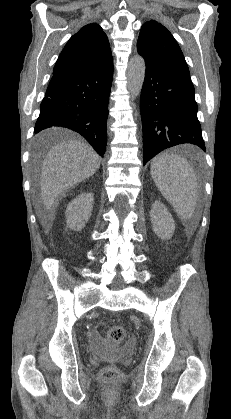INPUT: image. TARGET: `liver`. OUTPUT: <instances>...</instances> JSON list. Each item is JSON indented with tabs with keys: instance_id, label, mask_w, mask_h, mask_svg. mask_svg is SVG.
Listing matches in <instances>:
<instances>
[{
	"instance_id": "1",
	"label": "liver",
	"mask_w": 231,
	"mask_h": 419,
	"mask_svg": "<svg viewBox=\"0 0 231 419\" xmlns=\"http://www.w3.org/2000/svg\"><path fill=\"white\" fill-rule=\"evenodd\" d=\"M48 133L36 137L42 143ZM100 167V157L93 148L77 140L63 141L46 155L40 176L41 208L38 217L44 228H51L55 201L65 191L92 176Z\"/></svg>"
}]
</instances>
